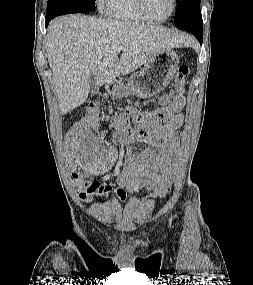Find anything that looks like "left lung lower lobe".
<instances>
[{
  "instance_id": "0a47b994",
  "label": "left lung lower lobe",
  "mask_w": 253,
  "mask_h": 285,
  "mask_svg": "<svg viewBox=\"0 0 253 285\" xmlns=\"http://www.w3.org/2000/svg\"><path fill=\"white\" fill-rule=\"evenodd\" d=\"M177 28L191 32L198 39L200 44L203 41V21L201 14L192 17L184 23L177 25Z\"/></svg>"
}]
</instances>
